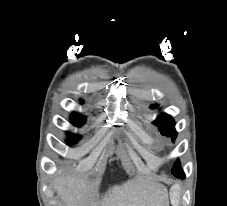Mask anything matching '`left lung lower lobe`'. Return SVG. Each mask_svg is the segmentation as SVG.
<instances>
[{"label": "left lung lower lobe", "instance_id": "1", "mask_svg": "<svg viewBox=\"0 0 227 206\" xmlns=\"http://www.w3.org/2000/svg\"><path fill=\"white\" fill-rule=\"evenodd\" d=\"M174 176L177 177V178H181V179L185 178L184 172L178 173V174H176Z\"/></svg>", "mask_w": 227, "mask_h": 206}]
</instances>
